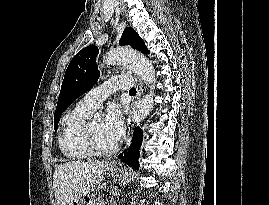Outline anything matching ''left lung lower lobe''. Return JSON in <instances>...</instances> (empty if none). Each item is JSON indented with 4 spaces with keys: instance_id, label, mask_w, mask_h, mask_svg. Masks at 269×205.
<instances>
[{
    "instance_id": "obj_1",
    "label": "left lung lower lobe",
    "mask_w": 269,
    "mask_h": 205,
    "mask_svg": "<svg viewBox=\"0 0 269 205\" xmlns=\"http://www.w3.org/2000/svg\"><path fill=\"white\" fill-rule=\"evenodd\" d=\"M142 142V130L137 127L133 134V140L130 147L124 151L123 154L118 156L123 162L127 163L128 165L132 166L135 169L139 168L138 158H139V148Z\"/></svg>"
}]
</instances>
